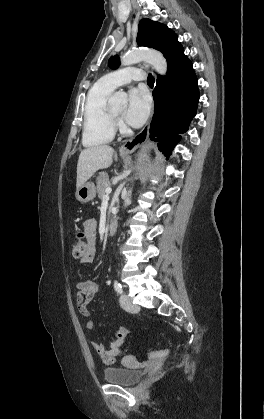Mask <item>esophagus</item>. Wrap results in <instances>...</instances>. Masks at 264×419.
<instances>
[{
	"instance_id": "obj_1",
	"label": "esophagus",
	"mask_w": 264,
	"mask_h": 419,
	"mask_svg": "<svg viewBox=\"0 0 264 419\" xmlns=\"http://www.w3.org/2000/svg\"><path fill=\"white\" fill-rule=\"evenodd\" d=\"M150 128V121L143 127V129L132 139L126 141L120 148L119 152L122 155L133 153L140 145H142L148 138Z\"/></svg>"
}]
</instances>
